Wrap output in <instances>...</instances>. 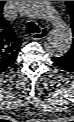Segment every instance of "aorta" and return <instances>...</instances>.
I'll use <instances>...</instances> for the list:
<instances>
[{
  "label": "aorta",
  "mask_w": 74,
  "mask_h": 122,
  "mask_svg": "<svg viewBox=\"0 0 74 122\" xmlns=\"http://www.w3.org/2000/svg\"><path fill=\"white\" fill-rule=\"evenodd\" d=\"M25 16L47 22L51 30L45 42L47 52L55 57L65 55L72 44V30L51 1H18Z\"/></svg>",
  "instance_id": "aorta-1"
}]
</instances>
